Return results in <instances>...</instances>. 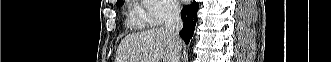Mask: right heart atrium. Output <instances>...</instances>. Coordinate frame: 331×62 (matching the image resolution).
Here are the masks:
<instances>
[{
	"label": "right heart atrium",
	"mask_w": 331,
	"mask_h": 62,
	"mask_svg": "<svg viewBox=\"0 0 331 62\" xmlns=\"http://www.w3.org/2000/svg\"><path fill=\"white\" fill-rule=\"evenodd\" d=\"M139 3L147 26H159L178 15V7L171 0H141Z\"/></svg>",
	"instance_id": "right-heart-atrium-1"
}]
</instances>
